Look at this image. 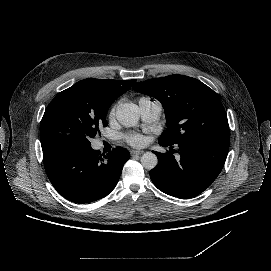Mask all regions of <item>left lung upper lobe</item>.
<instances>
[{"instance_id": "1", "label": "left lung upper lobe", "mask_w": 271, "mask_h": 271, "mask_svg": "<svg viewBox=\"0 0 271 271\" xmlns=\"http://www.w3.org/2000/svg\"><path fill=\"white\" fill-rule=\"evenodd\" d=\"M133 89L162 103L167 129L159 141L174 145L193 143L200 136L229 139L225 109L217 94L201 81L170 75L138 82Z\"/></svg>"}]
</instances>
